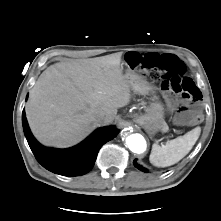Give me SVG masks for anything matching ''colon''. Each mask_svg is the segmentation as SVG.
<instances>
[{
    "mask_svg": "<svg viewBox=\"0 0 221 221\" xmlns=\"http://www.w3.org/2000/svg\"><path fill=\"white\" fill-rule=\"evenodd\" d=\"M129 64L133 69L160 81L162 88L179 96L181 108L178 114L184 121L197 124L201 121V113L195 109L200 100V92L193 80L188 77L185 64L176 56L149 52L141 62L136 53L128 55ZM147 69L143 71V69Z\"/></svg>",
    "mask_w": 221,
    "mask_h": 221,
    "instance_id": "5ec220e1",
    "label": "colon"
}]
</instances>
